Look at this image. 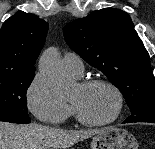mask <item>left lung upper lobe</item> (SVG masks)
<instances>
[{"label":"left lung upper lobe","mask_w":155,"mask_h":149,"mask_svg":"<svg viewBox=\"0 0 155 149\" xmlns=\"http://www.w3.org/2000/svg\"><path fill=\"white\" fill-rule=\"evenodd\" d=\"M63 30L69 47L120 89L131 115L155 105L149 54L125 11L97 10L67 24Z\"/></svg>","instance_id":"left-lung-upper-lobe-1"}]
</instances>
